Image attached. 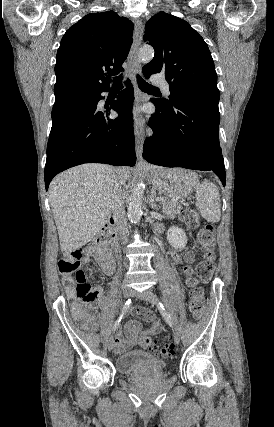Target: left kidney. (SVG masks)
I'll return each instance as SVG.
<instances>
[{
  "instance_id": "left-kidney-1",
  "label": "left kidney",
  "mask_w": 274,
  "mask_h": 427,
  "mask_svg": "<svg viewBox=\"0 0 274 427\" xmlns=\"http://www.w3.org/2000/svg\"><path fill=\"white\" fill-rule=\"evenodd\" d=\"M167 239L175 249H183L187 243V235L184 229L177 227V225H171L167 231Z\"/></svg>"
}]
</instances>
